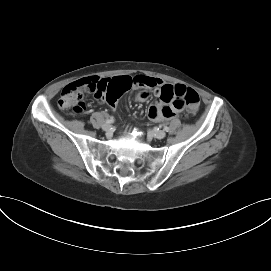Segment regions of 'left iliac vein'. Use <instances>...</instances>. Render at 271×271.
Returning a JSON list of instances; mask_svg holds the SVG:
<instances>
[{
    "label": "left iliac vein",
    "mask_w": 271,
    "mask_h": 271,
    "mask_svg": "<svg viewBox=\"0 0 271 271\" xmlns=\"http://www.w3.org/2000/svg\"><path fill=\"white\" fill-rule=\"evenodd\" d=\"M151 133L157 139H163L166 136L163 130H152Z\"/></svg>",
    "instance_id": "obj_1"
}]
</instances>
